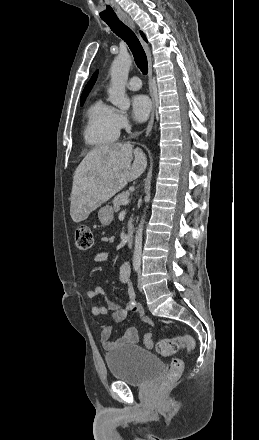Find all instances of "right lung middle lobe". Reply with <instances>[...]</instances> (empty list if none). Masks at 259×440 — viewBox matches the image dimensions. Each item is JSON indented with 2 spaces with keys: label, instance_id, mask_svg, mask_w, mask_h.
Returning a JSON list of instances; mask_svg holds the SVG:
<instances>
[{
  "label": "right lung middle lobe",
  "instance_id": "1",
  "mask_svg": "<svg viewBox=\"0 0 259 440\" xmlns=\"http://www.w3.org/2000/svg\"><path fill=\"white\" fill-rule=\"evenodd\" d=\"M84 101H85V98H82V99H81V103H80L81 106L84 104Z\"/></svg>",
  "mask_w": 259,
  "mask_h": 440
}]
</instances>
